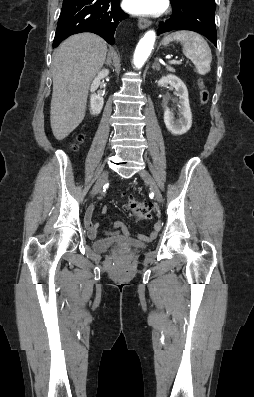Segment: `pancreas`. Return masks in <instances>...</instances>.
I'll return each mask as SVG.
<instances>
[{
  "label": "pancreas",
  "instance_id": "obj_1",
  "mask_svg": "<svg viewBox=\"0 0 254 397\" xmlns=\"http://www.w3.org/2000/svg\"><path fill=\"white\" fill-rule=\"evenodd\" d=\"M167 70L170 71V72H175V69L172 68V67H167Z\"/></svg>",
  "mask_w": 254,
  "mask_h": 397
}]
</instances>
